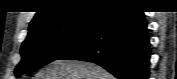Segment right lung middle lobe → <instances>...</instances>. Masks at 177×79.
Returning a JSON list of instances; mask_svg holds the SVG:
<instances>
[{"label": "right lung middle lobe", "instance_id": "right-lung-middle-lobe-1", "mask_svg": "<svg viewBox=\"0 0 177 79\" xmlns=\"http://www.w3.org/2000/svg\"><path fill=\"white\" fill-rule=\"evenodd\" d=\"M100 16L99 13H92L29 31L21 47L22 60L15 69V75L19 77L72 50L89 35Z\"/></svg>", "mask_w": 177, "mask_h": 79}]
</instances>
